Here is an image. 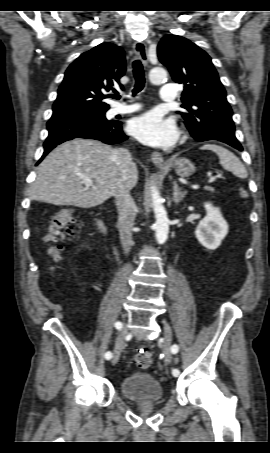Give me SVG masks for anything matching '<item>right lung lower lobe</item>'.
Returning <instances> with one entry per match:
<instances>
[{
    "mask_svg": "<svg viewBox=\"0 0 270 453\" xmlns=\"http://www.w3.org/2000/svg\"><path fill=\"white\" fill-rule=\"evenodd\" d=\"M49 135L44 143L41 160L58 144L73 138L100 140L106 144H115L126 140L121 123L108 121L97 122L93 119L69 115L51 118L47 123Z\"/></svg>",
    "mask_w": 270,
    "mask_h": 453,
    "instance_id": "right-lung-lower-lobe-1",
    "label": "right lung lower lobe"
}]
</instances>
